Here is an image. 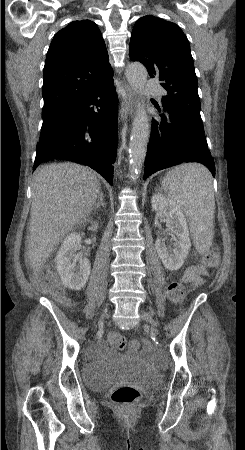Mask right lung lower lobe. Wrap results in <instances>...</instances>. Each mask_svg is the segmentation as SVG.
Instances as JSON below:
<instances>
[{
  "mask_svg": "<svg viewBox=\"0 0 245 450\" xmlns=\"http://www.w3.org/2000/svg\"><path fill=\"white\" fill-rule=\"evenodd\" d=\"M118 97L110 76L43 118L33 166L47 160L85 164L113 184Z\"/></svg>",
  "mask_w": 245,
  "mask_h": 450,
  "instance_id": "right-lung-lower-lobe-1",
  "label": "right lung lower lobe"
}]
</instances>
